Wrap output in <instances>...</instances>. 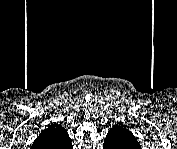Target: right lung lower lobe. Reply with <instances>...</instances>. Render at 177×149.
I'll use <instances>...</instances> for the list:
<instances>
[{"instance_id":"right-lung-lower-lobe-1","label":"right lung lower lobe","mask_w":177,"mask_h":149,"mask_svg":"<svg viewBox=\"0 0 177 149\" xmlns=\"http://www.w3.org/2000/svg\"><path fill=\"white\" fill-rule=\"evenodd\" d=\"M48 139H49V138H42L40 141H41V143H45V142H48ZM71 146H72V144L67 145L66 148L69 149V148H71Z\"/></svg>"}]
</instances>
